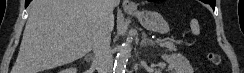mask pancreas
Segmentation results:
<instances>
[{
    "label": "pancreas",
    "instance_id": "obj_1",
    "mask_svg": "<svg viewBox=\"0 0 244 73\" xmlns=\"http://www.w3.org/2000/svg\"><path fill=\"white\" fill-rule=\"evenodd\" d=\"M159 45L161 47H165L169 51H176L177 50V46L171 41L161 42V43H159Z\"/></svg>",
    "mask_w": 244,
    "mask_h": 73
}]
</instances>
